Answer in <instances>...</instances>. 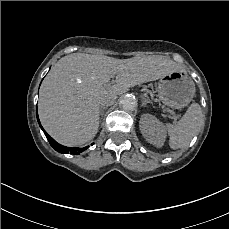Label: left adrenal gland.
<instances>
[{"label": "left adrenal gland", "mask_w": 229, "mask_h": 229, "mask_svg": "<svg viewBox=\"0 0 229 229\" xmlns=\"http://www.w3.org/2000/svg\"><path fill=\"white\" fill-rule=\"evenodd\" d=\"M143 107H146V104L145 103H142Z\"/></svg>", "instance_id": "a2214340"}]
</instances>
